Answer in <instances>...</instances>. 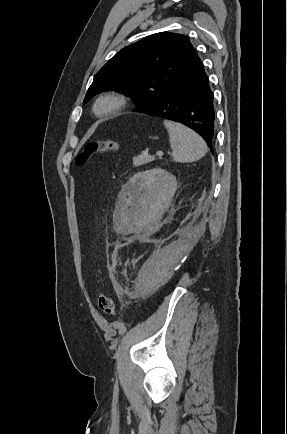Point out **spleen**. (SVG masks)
I'll list each match as a JSON object with an SVG mask.
<instances>
[{"label": "spleen", "mask_w": 287, "mask_h": 434, "mask_svg": "<svg viewBox=\"0 0 287 434\" xmlns=\"http://www.w3.org/2000/svg\"><path fill=\"white\" fill-rule=\"evenodd\" d=\"M164 126L169 133L172 157L175 162H194L207 153L205 141L193 130L169 120H164Z\"/></svg>", "instance_id": "1"}]
</instances>
